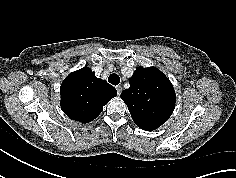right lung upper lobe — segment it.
Returning <instances> with one entry per match:
<instances>
[{"label": "right lung upper lobe", "mask_w": 236, "mask_h": 178, "mask_svg": "<svg viewBox=\"0 0 236 178\" xmlns=\"http://www.w3.org/2000/svg\"><path fill=\"white\" fill-rule=\"evenodd\" d=\"M61 109L71 119L88 123L117 95L116 89L95 76L90 68L69 74L61 84Z\"/></svg>", "instance_id": "cb5924a9"}]
</instances>
